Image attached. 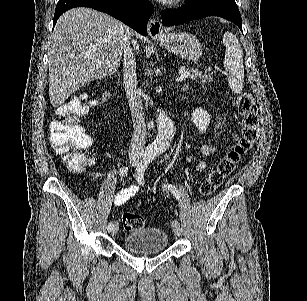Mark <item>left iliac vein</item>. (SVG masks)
Returning a JSON list of instances; mask_svg holds the SVG:
<instances>
[{
	"label": "left iliac vein",
	"instance_id": "1",
	"mask_svg": "<svg viewBox=\"0 0 307 301\" xmlns=\"http://www.w3.org/2000/svg\"><path fill=\"white\" fill-rule=\"evenodd\" d=\"M172 228H173V232L177 237L181 236V224L178 220L174 219L172 222Z\"/></svg>",
	"mask_w": 307,
	"mask_h": 301
}]
</instances>
